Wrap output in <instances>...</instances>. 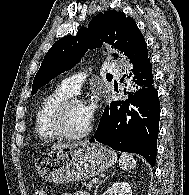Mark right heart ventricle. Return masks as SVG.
Wrapping results in <instances>:
<instances>
[{
  "label": "right heart ventricle",
  "instance_id": "1",
  "mask_svg": "<svg viewBox=\"0 0 189 195\" xmlns=\"http://www.w3.org/2000/svg\"><path fill=\"white\" fill-rule=\"evenodd\" d=\"M71 96L72 94L59 86L44 98L36 112L34 121L35 132L39 139L51 142L59 138L51 126L52 113L62 101Z\"/></svg>",
  "mask_w": 189,
  "mask_h": 195
}]
</instances>
